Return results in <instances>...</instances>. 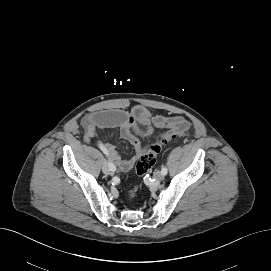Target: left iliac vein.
Masks as SVG:
<instances>
[{"mask_svg":"<svg viewBox=\"0 0 271 271\" xmlns=\"http://www.w3.org/2000/svg\"><path fill=\"white\" fill-rule=\"evenodd\" d=\"M154 178H155L157 181H162L163 178H164V175L162 174L161 171H156L155 174H154Z\"/></svg>","mask_w":271,"mask_h":271,"instance_id":"1","label":"left iliac vein"}]
</instances>
